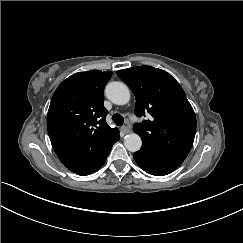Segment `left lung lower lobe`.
Wrapping results in <instances>:
<instances>
[{"label": "left lung lower lobe", "mask_w": 243, "mask_h": 243, "mask_svg": "<svg viewBox=\"0 0 243 243\" xmlns=\"http://www.w3.org/2000/svg\"><path fill=\"white\" fill-rule=\"evenodd\" d=\"M134 159L145 172L155 176L170 174L183 162L181 159L164 156L143 147L134 153Z\"/></svg>", "instance_id": "1"}]
</instances>
